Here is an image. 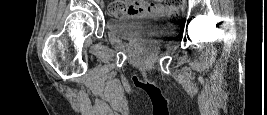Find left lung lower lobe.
<instances>
[{"mask_svg":"<svg viewBox=\"0 0 267 115\" xmlns=\"http://www.w3.org/2000/svg\"><path fill=\"white\" fill-rule=\"evenodd\" d=\"M137 87H143V86L137 85ZM149 88H151V89L154 90V91L159 92V89H157V88H155V87H149Z\"/></svg>","mask_w":267,"mask_h":115,"instance_id":"0a47b994","label":"left lung lower lobe"}]
</instances>
